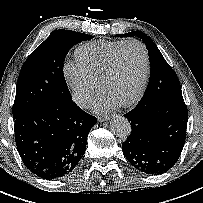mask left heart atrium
<instances>
[{
    "label": "left heart atrium",
    "instance_id": "1",
    "mask_svg": "<svg viewBox=\"0 0 203 203\" xmlns=\"http://www.w3.org/2000/svg\"><path fill=\"white\" fill-rule=\"evenodd\" d=\"M120 105V102H118L111 96L102 93L94 100V102L92 103V108L96 112H109L118 108Z\"/></svg>",
    "mask_w": 203,
    "mask_h": 203
}]
</instances>
